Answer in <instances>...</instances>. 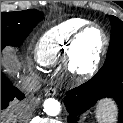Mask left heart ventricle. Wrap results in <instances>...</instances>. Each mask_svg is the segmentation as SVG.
<instances>
[{
  "label": "left heart ventricle",
  "instance_id": "1",
  "mask_svg": "<svg viewBox=\"0 0 123 123\" xmlns=\"http://www.w3.org/2000/svg\"><path fill=\"white\" fill-rule=\"evenodd\" d=\"M103 42V38L98 29L92 27L80 39L78 43V52L83 58L85 64H88L94 58Z\"/></svg>",
  "mask_w": 123,
  "mask_h": 123
}]
</instances>
